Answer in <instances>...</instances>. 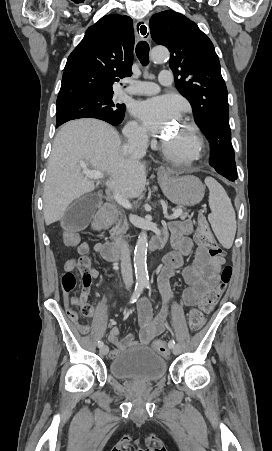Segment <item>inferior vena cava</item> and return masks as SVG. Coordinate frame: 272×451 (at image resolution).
I'll return each instance as SVG.
<instances>
[{"label":"inferior vena cava","instance_id":"obj_1","mask_svg":"<svg viewBox=\"0 0 272 451\" xmlns=\"http://www.w3.org/2000/svg\"><path fill=\"white\" fill-rule=\"evenodd\" d=\"M147 148L148 138H146L144 134H136V136L129 138L128 144H125V146H123V154L124 156L133 154V156L142 158V156H145ZM121 273L125 285H127V287H130V285H132L133 283V269L130 257V249L126 241H124V243H122L121 245Z\"/></svg>","mask_w":272,"mask_h":451}]
</instances>
